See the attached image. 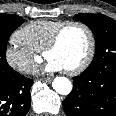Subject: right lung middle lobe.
Wrapping results in <instances>:
<instances>
[{"instance_id": "right-lung-middle-lobe-1", "label": "right lung middle lobe", "mask_w": 116, "mask_h": 116, "mask_svg": "<svg viewBox=\"0 0 116 116\" xmlns=\"http://www.w3.org/2000/svg\"><path fill=\"white\" fill-rule=\"evenodd\" d=\"M24 19L14 14L0 13V80L11 78L14 71L6 61L7 42L12 34L22 23Z\"/></svg>"}]
</instances>
